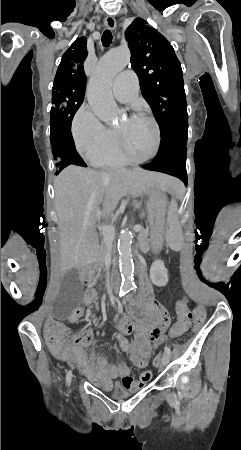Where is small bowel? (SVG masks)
<instances>
[{"label":"small bowel","mask_w":241,"mask_h":450,"mask_svg":"<svg viewBox=\"0 0 241 450\" xmlns=\"http://www.w3.org/2000/svg\"><path fill=\"white\" fill-rule=\"evenodd\" d=\"M96 297V290L91 284L87 285L83 298L84 304L89 307L92 306ZM143 305L147 308L150 316H137L135 318L136 324H131L130 320L126 319L117 320L120 338H123V334L136 333L134 342L130 343V347L135 349V354L133 356H127L132 362L135 355H140L142 360H149V357L154 354L155 349L163 342L162 330H167L169 321H172L171 316H166V310L163 304L156 303L155 298H145ZM41 317L48 319L50 312L43 310ZM138 325H151V327H148L146 331L142 328L139 329ZM46 326L48 328L45 332L49 335L46 338V346L48 348L58 347L56 355L62 359L74 361L78 370L86 375L93 384L109 389L114 379L121 378L122 386L125 389L132 390L145 387L152 380L153 376L149 370L142 372L139 382H135L130 376L129 366L124 361L110 363L106 357L96 355L94 350L88 356L84 355L82 348L93 343V332L90 328L74 333L72 335L73 341L77 347H69L66 344L59 346L60 342L54 338V336L63 333L61 321H48ZM170 331H179L182 334L185 330ZM149 336H158V338L152 341ZM125 342L127 341L125 340Z\"/></svg>","instance_id":"obj_1"}]
</instances>
